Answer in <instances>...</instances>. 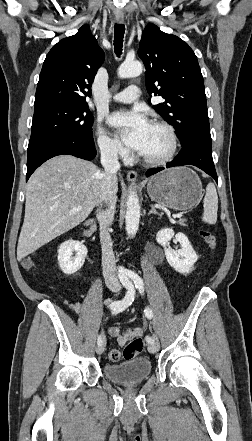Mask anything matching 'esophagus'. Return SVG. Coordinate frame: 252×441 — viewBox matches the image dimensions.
<instances>
[{"instance_id":"esophagus-1","label":"esophagus","mask_w":252,"mask_h":441,"mask_svg":"<svg viewBox=\"0 0 252 441\" xmlns=\"http://www.w3.org/2000/svg\"><path fill=\"white\" fill-rule=\"evenodd\" d=\"M117 23L122 24L124 22V18L118 17L116 18ZM127 179L131 182H135L137 179V172L134 170H130L127 173Z\"/></svg>"}]
</instances>
